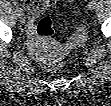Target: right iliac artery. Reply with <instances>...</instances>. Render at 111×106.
Instances as JSON below:
<instances>
[{"label": "right iliac artery", "mask_w": 111, "mask_h": 106, "mask_svg": "<svg viewBox=\"0 0 111 106\" xmlns=\"http://www.w3.org/2000/svg\"><path fill=\"white\" fill-rule=\"evenodd\" d=\"M13 4L16 6V8H19L18 2L14 1Z\"/></svg>", "instance_id": "right-iliac-artery-1"}]
</instances>
